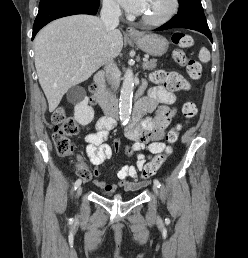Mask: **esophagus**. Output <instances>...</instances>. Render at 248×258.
Returning a JSON list of instances; mask_svg holds the SVG:
<instances>
[{"label": "esophagus", "instance_id": "1", "mask_svg": "<svg viewBox=\"0 0 248 258\" xmlns=\"http://www.w3.org/2000/svg\"><path fill=\"white\" fill-rule=\"evenodd\" d=\"M126 33L127 35H139L138 30H136L134 27H127Z\"/></svg>", "mask_w": 248, "mask_h": 258}]
</instances>
